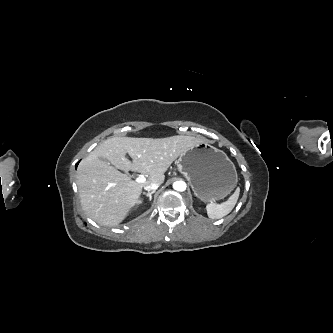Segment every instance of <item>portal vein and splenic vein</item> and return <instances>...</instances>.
Returning a JSON list of instances; mask_svg holds the SVG:
<instances>
[{
  "mask_svg": "<svg viewBox=\"0 0 333 333\" xmlns=\"http://www.w3.org/2000/svg\"><path fill=\"white\" fill-rule=\"evenodd\" d=\"M135 181L138 183H144L146 181V178L143 175H139Z\"/></svg>",
  "mask_w": 333,
  "mask_h": 333,
  "instance_id": "obj_1",
  "label": "portal vein and splenic vein"
}]
</instances>
